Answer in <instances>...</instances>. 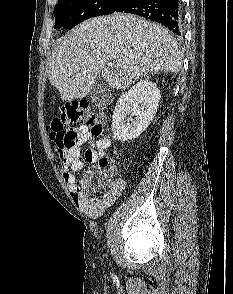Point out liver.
Returning <instances> with one entry per match:
<instances>
[{
    "mask_svg": "<svg viewBox=\"0 0 233 294\" xmlns=\"http://www.w3.org/2000/svg\"><path fill=\"white\" fill-rule=\"evenodd\" d=\"M182 61L166 28L115 13L86 20L67 33L49 58L48 77L61 100L72 101L86 97L98 75L110 88L125 89L147 73H177Z\"/></svg>",
    "mask_w": 233,
    "mask_h": 294,
    "instance_id": "6515ba94",
    "label": "liver"
}]
</instances>
